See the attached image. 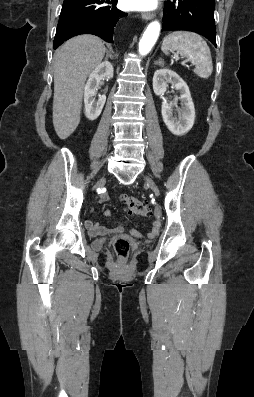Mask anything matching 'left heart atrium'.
<instances>
[{"instance_id": "left-heart-atrium-1", "label": "left heart atrium", "mask_w": 254, "mask_h": 397, "mask_svg": "<svg viewBox=\"0 0 254 397\" xmlns=\"http://www.w3.org/2000/svg\"><path fill=\"white\" fill-rule=\"evenodd\" d=\"M131 9L149 10L156 6L157 0H126Z\"/></svg>"}]
</instances>
